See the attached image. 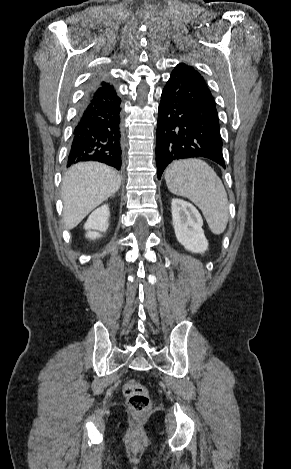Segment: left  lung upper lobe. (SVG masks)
<instances>
[{
    "instance_id": "5c2ea615",
    "label": "left lung upper lobe",
    "mask_w": 291,
    "mask_h": 469,
    "mask_svg": "<svg viewBox=\"0 0 291 469\" xmlns=\"http://www.w3.org/2000/svg\"><path fill=\"white\" fill-rule=\"evenodd\" d=\"M176 68H181V69L186 70L191 77H193L195 80L205 85V82L203 81V77L193 67L188 66L184 63H181L177 65Z\"/></svg>"
}]
</instances>
